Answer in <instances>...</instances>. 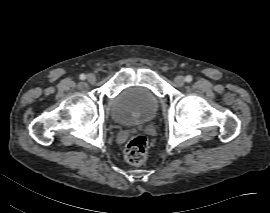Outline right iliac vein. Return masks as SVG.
Instances as JSON below:
<instances>
[{"label": "right iliac vein", "instance_id": "63e3f726", "mask_svg": "<svg viewBox=\"0 0 270 213\" xmlns=\"http://www.w3.org/2000/svg\"><path fill=\"white\" fill-rule=\"evenodd\" d=\"M87 80L90 84H94L96 82V76L94 74H89Z\"/></svg>", "mask_w": 270, "mask_h": 213}]
</instances>
